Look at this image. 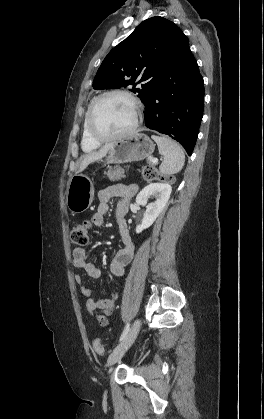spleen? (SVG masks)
I'll use <instances>...</instances> for the list:
<instances>
[{
    "mask_svg": "<svg viewBox=\"0 0 264 419\" xmlns=\"http://www.w3.org/2000/svg\"><path fill=\"white\" fill-rule=\"evenodd\" d=\"M152 139L157 143L159 153L163 155V160L159 167L160 172L164 175L178 173L185 162V154L182 147L168 137L153 135Z\"/></svg>",
    "mask_w": 264,
    "mask_h": 419,
    "instance_id": "obj_1",
    "label": "spleen"
}]
</instances>
